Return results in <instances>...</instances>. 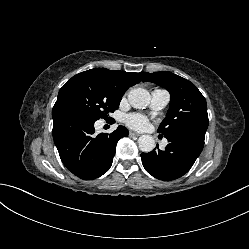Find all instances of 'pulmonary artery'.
Masks as SVG:
<instances>
[{
  "label": "pulmonary artery",
  "instance_id": "e3ab8cb5",
  "mask_svg": "<svg viewBox=\"0 0 249 249\" xmlns=\"http://www.w3.org/2000/svg\"><path fill=\"white\" fill-rule=\"evenodd\" d=\"M169 93L163 89H155L152 92L151 108L154 110L163 109L169 102ZM166 143V140L164 141Z\"/></svg>",
  "mask_w": 249,
  "mask_h": 249
}]
</instances>
